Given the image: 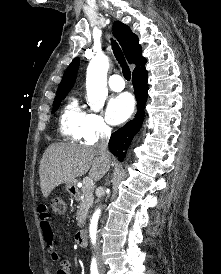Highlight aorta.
<instances>
[{"instance_id": "obj_1", "label": "aorta", "mask_w": 221, "mask_h": 274, "mask_svg": "<svg viewBox=\"0 0 221 274\" xmlns=\"http://www.w3.org/2000/svg\"><path fill=\"white\" fill-rule=\"evenodd\" d=\"M109 60L107 57L94 58L90 61L86 75L87 101L94 110H99L106 98L107 71ZM100 210H96L92 216L89 232L91 242H96L97 224Z\"/></svg>"}]
</instances>
